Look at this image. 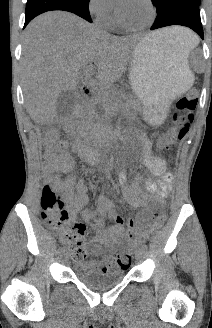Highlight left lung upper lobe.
Wrapping results in <instances>:
<instances>
[{
	"mask_svg": "<svg viewBox=\"0 0 212 328\" xmlns=\"http://www.w3.org/2000/svg\"><path fill=\"white\" fill-rule=\"evenodd\" d=\"M153 1H157V2H162L164 0H153ZM193 2H195L196 4L200 5V0H191Z\"/></svg>",
	"mask_w": 212,
	"mask_h": 328,
	"instance_id": "1",
	"label": "left lung upper lobe"
}]
</instances>
